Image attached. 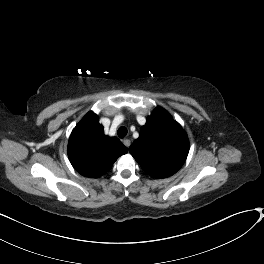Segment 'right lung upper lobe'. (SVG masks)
<instances>
[{"mask_svg":"<svg viewBox=\"0 0 264 264\" xmlns=\"http://www.w3.org/2000/svg\"><path fill=\"white\" fill-rule=\"evenodd\" d=\"M103 129L98 116L91 111L71 133L68 157L83 176L101 177L112 168L118 157L128 152L117 138L106 136Z\"/></svg>","mask_w":264,"mask_h":264,"instance_id":"1","label":"right lung upper lobe"}]
</instances>
